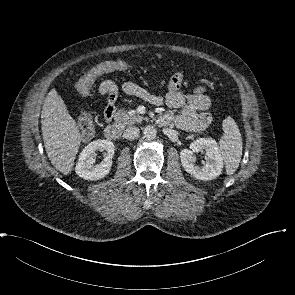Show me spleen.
<instances>
[{
	"label": "spleen",
	"mask_w": 295,
	"mask_h": 295,
	"mask_svg": "<svg viewBox=\"0 0 295 295\" xmlns=\"http://www.w3.org/2000/svg\"><path fill=\"white\" fill-rule=\"evenodd\" d=\"M224 135L219 140V151L225 162L228 175L234 174L239 167L242 156V137L239 128L232 117L222 122Z\"/></svg>",
	"instance_id": "spleen-1"
}]
</instances>
